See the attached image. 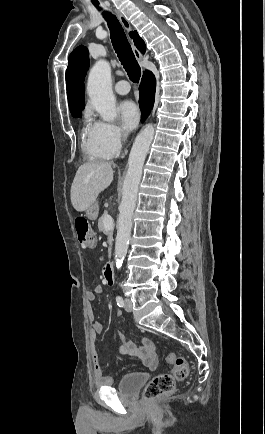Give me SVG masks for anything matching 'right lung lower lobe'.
Segmentation results:
<instances>
[{"label":"right lung lower lobe","mask_w":265,"mask_h":434,"mask_svg":"<svg viewBox=\"0 0 265 434\" xmlns=\"http://www.w3.org/2000/svg\"><path fill=\"white\" fill-rule=\"evenodd\" d=\"M155 77L149 72L145 71L142 77V81L139 87L140 97L139 104L142 113V119L144 120L149 115L150 110L153 107L154 95H155Z\"/></svg>","instance_id":"1"}]
</instances>
